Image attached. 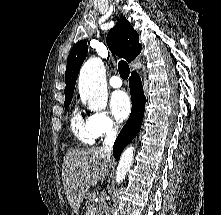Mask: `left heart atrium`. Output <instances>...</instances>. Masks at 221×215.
Here are the masks:
<instances>
[{
  "label": "left heart atrium",
  "mask_w": 221,
  "mask_h": 215,
  "mask_svg": "<svg viewBox=\"0 0 221 215\" xmlns=\"http://www.w3.org/2000/svg\"><path fill=\"white\" fill-rule=\"evenodd\" d=\"M110 108L117 121H124L131 112V102L128 94L124 91L114 92L111 97Z\"/></svg>",
  "instance_id": "obj_1"
}]
</instances>
